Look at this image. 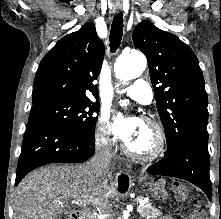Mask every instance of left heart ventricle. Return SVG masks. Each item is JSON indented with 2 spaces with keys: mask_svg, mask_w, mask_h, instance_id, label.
<instances>
[{
  "mask_svg": "<svg viewBox=\"0 0 221 219\" xmlns=\"http://www.w3.org/2000/svg\"><path fill=\"white\" fill-rule=\"evenodd\" d=\"M154 133L141 123L136 134L126 141L127 145L135 152L147 153L154 146Z\"/></svg>",
  "mask_w": 221,
  "mask_h": 219,
  "instance_id": "left-heart-ventricle-1",
  "label": "left heart ventricle"
}]
</instances>
